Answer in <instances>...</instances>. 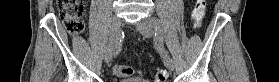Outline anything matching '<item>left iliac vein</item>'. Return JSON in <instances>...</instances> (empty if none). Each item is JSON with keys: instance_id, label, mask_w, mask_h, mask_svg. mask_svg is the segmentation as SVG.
<instances>
[{"instance_id": "1", "label": "left iliac vein", "mask_w": 279, "mask_h": 82, "mask_svg": "<svg viewBox=\"0 0 279 82\" xmlns=\"http://www.w3.org/2000/svg\"><path fill=\"white\" fill-rule=\"evenodd\" d=\"M136 28L146 38H151L155 32L154 25L147 19H143L140 22H138ZM164 64L171 71H173L175 68L174 61L169 56L165 57Z\"/></svg>"}]
</instances>
